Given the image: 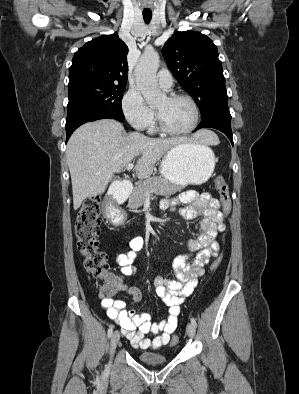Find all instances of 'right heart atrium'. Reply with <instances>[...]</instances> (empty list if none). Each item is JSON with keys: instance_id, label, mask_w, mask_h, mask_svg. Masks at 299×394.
<instances>
[{"instance_id": "d8ad5b80", "label": "right heart atrium", "mask_w": 299, "mask_h": 394, "mask_svg": "<svg viewBox=\"0 0 299 394\" xmlns=\"http://www.w3.org/2000/svg\"><path fill=\"white\" fill-rule=\"evenodd\" d=\"M122 109L126 120L137 130H145L154 122V110L144 101L140 92L130 88L122 100Z\"/></svg>"}]
</instances>
